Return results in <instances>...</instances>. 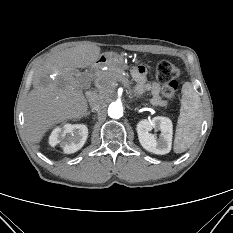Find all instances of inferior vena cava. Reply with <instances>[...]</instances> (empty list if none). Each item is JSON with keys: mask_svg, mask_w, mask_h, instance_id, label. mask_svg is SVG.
Returning <instances> with one entry per match:
<instances>
[{"mask_svg": "<svg viewBox=\"0 0 233 233\" xmlns=\"http://www.w3.org/2000/svg\"><path fill=\"white\" fill-rule=\"evenodd\" d=\"M86 97L90 103V105L95 106L99 101L100 95L94 91H88L86 93Z\"/></svg>", "mask_w": 233, "mask_h": 233, "instance_id": "obj_1", "label": "inferior vena cava"}]
</instances>
